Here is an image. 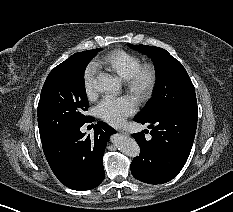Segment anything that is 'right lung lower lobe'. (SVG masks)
<instances>
[{
  "instance_id": "obj_1",
  "label": "right lung lower lobe",
  "mask_w": 233,
  "mask_h": 212,
  "mask_svg": "<svg viewBox=\"0 0 233 212\" xmlns=\"http://www.w3.org/2000/svg\"><path fill=\"white\" fill-rule=\"evenodd\" d=\"M90 117L87 122H92ZM76 125L42 143L45 157L56 177L73 190H89L104 180L103 154L110 135L116 131L104 122L94 126V136H86Z\"/></svg>"
}]
</instances>
